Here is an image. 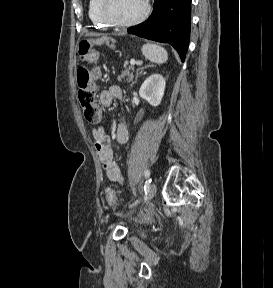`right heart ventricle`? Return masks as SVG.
I'll return each mask as SVG.
<instances>
[{
	"label": "right heart ventricle",
	"instance_id": "right-heart-ventricle-1",
	"mask_svg": "<svg viewBox=\"0 0 273 288\" xmlns=\"http://www.w3.org/2000/svg\"><path fill=\"white\" fill-rule=\"evenodd\" d=\"M101 0H90L88 7V14L91 22L100 28H106L108 25L103 21L100 16L99 6Z\"/></svg>",
	"mask_w": 273,
	"mask_h": 288
}]
</instances>
